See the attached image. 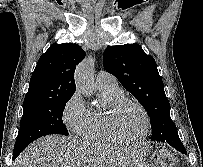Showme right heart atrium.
I'll return each mask as SVG.
<instances>
[{
    "instance_id": "d8ad5b80",
    "label": "right heart atrium",
    "mask_w": 203,
    "mask_h": 167,
    "mask_svg": "<svg viewBox=\"0 0 203 167\" xmlns=\"http://www.w3.org/2000/svg\"><path fill=\"white\" fill-rule=\"evenodd\" d=\"M88 115V108L79 92H74L66 101L62 120L69 131L80 134Z\"/></svg>"
}]
</instances>
